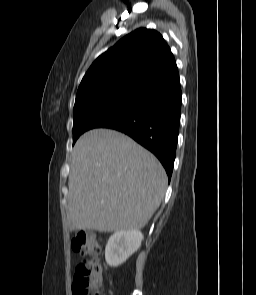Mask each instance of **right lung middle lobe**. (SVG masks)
<instances>
[{
  "label": "right lung middle lobe",
  "instance_id": "right-lung-middle-lobe-1",
  "mask_svg": "<svg viewBox=\"0 0 256 295\" xmlns=\"http://www.w3.org/2000/svg\"><path fill=\"white\" fill-rule=\"evenodd\" d=\"M135 97L136 92H128L93 104L75 102L73 109V144L85 131L99 127L122 112L125 107L133 102Z\"/></svg>",
  "mask_w": 256,
  "mask_h": 295
}]
</instances>
